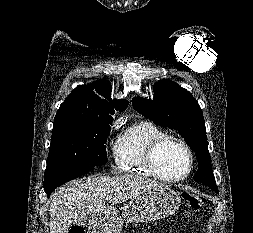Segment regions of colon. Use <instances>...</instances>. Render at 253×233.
<instances>
[{"mask_svg": "<svg viewBox=\"0 0 253 233\" xmlns=\"http://www.w3.org/2000/svg\"><path fill=\"white\" fill-rule=\"evenodd\" d=\"M184 199L187 202L188 206L193 210L200 209L206 201L204 196L193 193H185ZM69 233H84V229L80 225H75L70 228Z\"/></svg>", "mask_w": 253, "mask_h": 233, "instance_id": "colon-1", "label": "colon"}]
</instances>
